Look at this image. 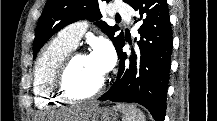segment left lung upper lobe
<instances>
[{
    "label": "left lung upper lobe",
    "mask_w": 217,
    "mask_h": 121,
    "mask_svg": "<svg viewBox=\"0 0 217 121\" xmlns=\"http://www.w3.org/2000/svg\"><path fill=\"white\" fill-rule=\"evenodd\" d=\"M102 1L109 2L110 0H48L36 28L33 42L34 58L48 39L66 25L81 19L99 20L102 17L99 9V4ZM123 1L129 3L130 0ZM96 24L117 48L124 38L122 31L118 33L119 27L117 25L108 26L103 21H98Z\"/></svg>",
    "instance_id": "1"
}]
</instances>
